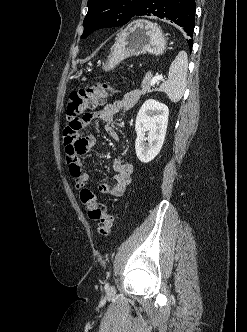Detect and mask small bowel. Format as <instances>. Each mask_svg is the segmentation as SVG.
Masks as SVG:
<instances>
[{
  "mask_svg": "<svg viewBox=\"0 0 247 332\" xmlns=\"http://www.w3.org/2000/svg\"><path fill=\"white\" fill-rule=\"evenodd\" d=\"M139 99V91L133 90L125 94L121 99L106 104L102 109L94 111L86 115L85 125L92 120H101L106 123L105 132L114 140H119V135L112 126L114 118L123 111H129L136 105ZM95 138L92 135L80 136L75 133L65 139V156L69 167L70 174L75 182L77 189L81 191L89 183L90 177L86 170V166L81 160L82 155L90 153ZM114 175L109 182L99 184L98 189L101 193L111 195L113 197L121 196L127 185L131 182L133 174V166L128 162L114 159L112 162Z\"/></svg>",
  "mask_w": 247,
  "mask_h": 332,
  "instance_id": "small-bowel-1",
  "label": "small bowel"
}]
</instances>
